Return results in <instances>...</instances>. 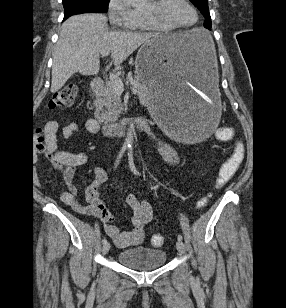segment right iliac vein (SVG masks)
Returning a JSON list of instances; mask_svg holds the SVG:
<instances>
[{"label": "right iliac vein", "instance_id": "1", "mask_svg": "<svg viewBox=\"0 0 286 308\" xmlns=\"http://www.w3.org/2000/svg\"><path fill=\"white\" fill-rule=\"evenodd\" d=\"M109 249H110V243H109V242L103 244L102 253H103V254H107L108 251H109Z\"/></svg>", "mask_w": 286, "mask_h": 308}]
</instances>
